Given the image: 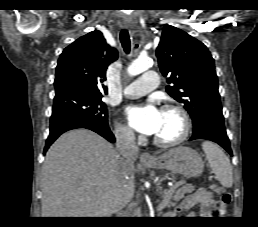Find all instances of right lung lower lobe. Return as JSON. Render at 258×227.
Here are the masks:
<instances>
[{"label": "right lung lower lobe", "instance_id": "98d812e1", "mask_svg": "<svg viewBox=\"0 0 258 227\" xmlns=\"http://www.w3.org/2000/svg\"><path fill=\"white\" fill-rule=\"evenodd\" d=\"M86 128L90 129L99 135L103 136L108 141L114 143L115 138L108 126L93 125L85 120L68 115L51 116L50 120V134L47 138L44 154L50 147V145L64 132L75 129Z\"/></svg>", "mask_w": 258, "mask_h": 227}]
</instances>
